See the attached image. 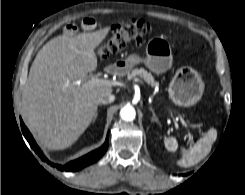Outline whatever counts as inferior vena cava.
Wrapping results in <instances>:
<instances>
[{
    "mask_svg": "<svg viewBox=\"0 0 245 195\" xmlns=\"http://www.w3.org/2000/svg\"><path fill=\"white\" fill-rule=\"evenodd\" d=\"M115 100V96L109 93H103L97 98L98 104H108Z\"/></svg>",
    "mask_w": 245,
    "mask_h": 195,
    "instance_id": "obj_1",
    "label": "inferior vena cava"
}]
</instances>
